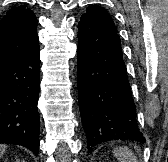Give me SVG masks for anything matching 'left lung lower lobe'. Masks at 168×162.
I'll return each mask as SVG.
<instances>
[{"mask_svg": "<svg viewBox=\"0 0 168 162\" xmlns=\"http://www.w3.org/2000/svg\"><path fill=\"white\" fill-rule=\"evenodd\" d=\"M78 30L79 107L89 153L112 140L144 143L117 31L86 15Z\"/></svg>", "mask_w": 168, "mask_h": 162, "instance_id": "obj_1", "label": "left lung lower lobe"}]
</instances>
